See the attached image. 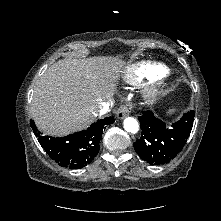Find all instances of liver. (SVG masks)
Returning <instances> with one entry per match:
<instances>
[{"label": "liver", "instance_id": "obj_1", "mask_svg": "<svg viewBox=\"0 0 221 221\" xmlns=\"http://www.w3.org/2000/svg\"><path fill=\"white\" fill-rule=\"evenodd\" d=\"M124 62L114 57L62 59L38 80L30 112L45 134L64 136L88 127L113 91Z\"/></svg>", "mask_w": 221, "mask_h": 221}]
</instances>
